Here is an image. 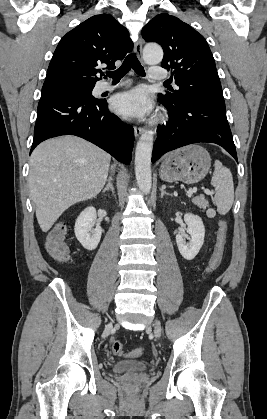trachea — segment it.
Listing matches in <instances>:
<instances>
[{
  "label": "trachea",
  "instance_id": "3493384b",
  "mask_svg": "<svg viewBox=\"0 0 267 419\" xmlns=\"http://www.w3.org/2000/svg\"><path fill=\"white\" fill-rule=\"evenodd\" d=\"M131 69H133L138 75L145 76L144 68L139 62L135 54H129L122 65L115 71H107L106 74L113 79V81H119L125 76Z\"/></svg>",
  "mask_w": 267,
  "mask_h": 419
}]
</instances>
